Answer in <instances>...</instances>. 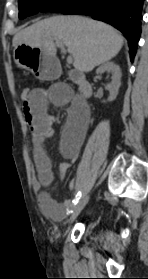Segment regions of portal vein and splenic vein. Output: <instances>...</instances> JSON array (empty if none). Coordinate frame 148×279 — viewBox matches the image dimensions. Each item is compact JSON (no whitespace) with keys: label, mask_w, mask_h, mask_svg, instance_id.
Here are the masks:
<instances>
[{"label":"portal vein and splenic vein","mask_w":148,"mask_h":279,"mask_svg":"<svg viewBox=\"0 0 148 279\" xmlns=\"http://www.w3.org/2000/svg\"><path fill=\"white\" fill-rule=\"evenodd\" d=\"M56 44H57V46H58L59 48H61V50H62L64 53L66 52L65 47H64V44H63L61 41L56 40ZM72 62H73L72 56H68V57H67V63L71 64Z\"/></svg>","instance_id":"1"}]
</instances>
